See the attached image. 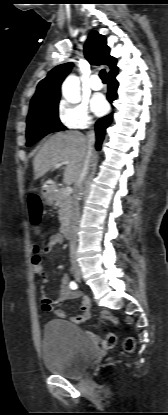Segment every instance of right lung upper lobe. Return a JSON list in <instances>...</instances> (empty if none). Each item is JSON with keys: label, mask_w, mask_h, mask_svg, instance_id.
<instances>
[{"label": "right lung upper lobe", "mask_w": 168, "mask_h": 415, "mask_svg": "<svg viewBox=\"0 0 168 415\" xmlns=\"http://www.w3.org/2000/svg\"><path fill=\"white\" fill-rule=\"evenodd\" d=\"M109 52L106 38L97 31H91L84 45V54L88 62L93 65L109 66V74H111L118 68L116 58L110 56ZM72 66L71 62L58 65L39 82L30 103V110L59 101L61 83L71 71Z\"/></svg>", "instance_id": "right-lung-upper-lobe-1"}]
</instances>
